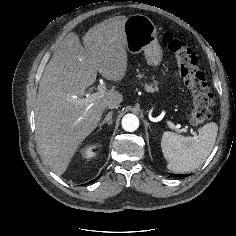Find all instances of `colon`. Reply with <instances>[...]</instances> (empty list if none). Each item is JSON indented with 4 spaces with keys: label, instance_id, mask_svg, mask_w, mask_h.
I'll use <instances>...</instances> for the list:
<instances>
[{
    "label": "colon",
    "instance_id": "obj_1",
    "mask_svg": "<svg viewBox=\"0 0 236 236\" xmlns=\"http://www.w3.org/2000/svg\"><path fill=\"white\" fill-rule=\"evenodd\" d=\"M163 41L174 54L179 75L192 95L194 107L191 122L194 125L202 124L211 117L214 97L204 74L198 68V58L185 41L178 39L172 33H165Z\"/></svg>",
    "mask_w": 236,
    "mask_h": 236
}]
</instances>
